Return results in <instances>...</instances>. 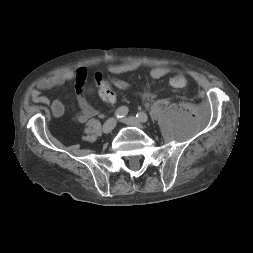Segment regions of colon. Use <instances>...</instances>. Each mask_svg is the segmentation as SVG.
Instances as JSON below:
<instances>
[{
    "instance_id": "1",
    "label": "colon",
    "mask_w": 253,
    "mask_h": 253,
    "mask_svg": "<svg viewBox=\"0 0 253 253\" xmlns=\"http://www.w3.org/2000/svg\"><path fill=\"white\" fill-rule=\"evenodd\" d=\"M94 80L97 85L99 96L103 101L110 104L117 101V94L114 92V88L120 90L132 88V85L123 79L114 76L107 77L100 71L94 74ZM169 84L174 88H183L186 86L187 80L183 75H176L169 79Z\"/></svg>"
}]
</instances>
